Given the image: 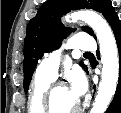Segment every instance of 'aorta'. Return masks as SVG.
Listing matches in <instances>:
<instances>
[{"instance_id":"aorta-1","label":"aorta","mask_w":121,"mask_h":113,"mask_svg":"<svg viewBox=\"0 0 121 113\" xmlns=\"http://www.w3.org/2000/svg\"><path fill=\"white\" fill-rule=\"evenodd\" d=\"M72 22L82 20L96 33L101 53L102 78L90 113H104L116 91L119 59L116 41L107 21L93 11L81 10L67 16Z\"/></svg>"}]
</instances>
